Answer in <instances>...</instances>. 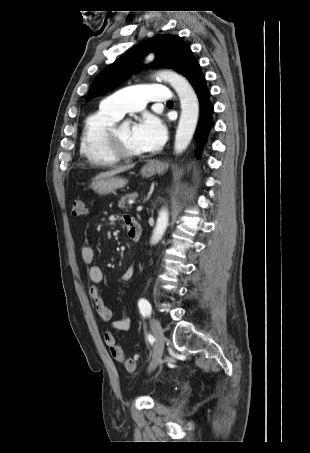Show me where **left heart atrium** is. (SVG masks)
Segmentation results:
<instances>
[{"instance_id":"39dd6f15","label":"left heart atrium","mask_w":310,"mask_h":453,"mask_svg":"<svg viewBox=\"0 0 310 453\" xmlns=\"http://www.w3.org/2000/svg\"><path fill=\"white\" fill-rule=\"evenodd\" d=\"M132 135L135 143L143 151H152L164 143L166 128L157 116L147 115L133 125Z\"/></svg>"}]
</instances>
